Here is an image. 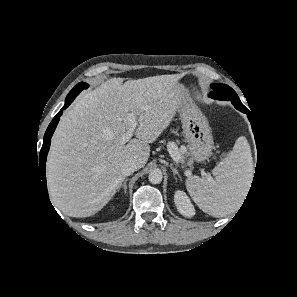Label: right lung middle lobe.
Wrapping results in <instances>:
<instances>
[{
	"mask_svg": "<svg viewBox=\"0 0 297 297\" xmlns=\"http://www.w3.org/2000/svg\"><path fill=\"white\" fill-rule=\"evenodd\" d=\"M88 88V84L81 82L74 86V88L69 92V94L66 97V102H73L75 97L84 89Z\"/></svg>",
	"mask_w": 297,
	"mask_h": 297,
	"instance_id": "obj_1",
	"label": "right lung middle lobe"
}]
</instances>
